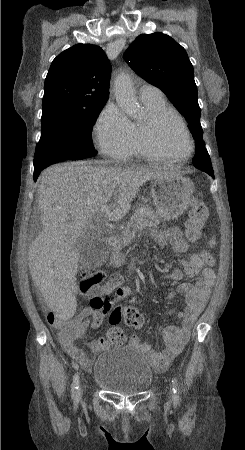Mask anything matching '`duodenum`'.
<instances>
[{
  "instance_id": "410a0bca",
  "label": "duodenum",
  "mask_w": 245,
  "mask_h": 450,
  "mask_svg": "<svg viewBox=\"0 0 245 450\" xmlns=\"http://www.w3.org/2000/svg\"><path fill=\"white\" fill-rule=\"evenodd\" d=\"M107 244L111 251H117L121 247V242L116 237H108Z\"/></svg>"
}]
</instances>
